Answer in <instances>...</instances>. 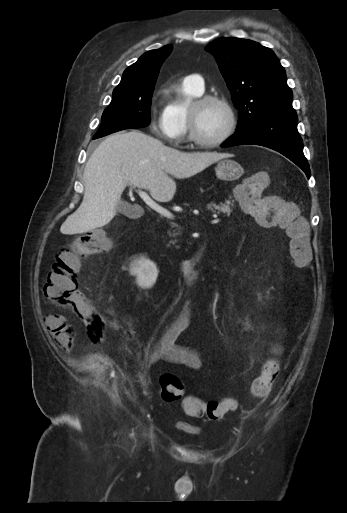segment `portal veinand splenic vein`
I'll return each instance as SVG.
<instances>
[{"label":"portal vein and splenic vein","mask_w":347,"mask_h":513,"mask_svg":"<svg viewBox=\"0 0 347 513\" xmlns=\"http://www.w3.org/2000/svg\"><path fill=\"white\" fill-rule=\"evenodd\" d=\"M137 187L140 188V186H137ZM138 194L150 208H152L153 210H155L156 212H158L159 214H161L162 216H164L166 218H169V219L174 218V215L169 210L159 206L154 200L151 199V197L145 191L138 189ZM219 222H220V220L218 218H215L214 220L211 221L212 224L219 223Z\"/></svg>","instance_id":"obj_1"}]
</instances>
